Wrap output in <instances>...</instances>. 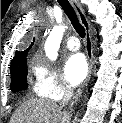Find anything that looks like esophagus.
I'll return each mask as SVG.
<instances>
[{
  "label": "esophagus",
  "instance_id": "obj_1",
  "mask_svg": "<svg viewBox=\"0 0 122 123\" xmlns=\"http://www.w3.org/2000/svg\"><path fill=\"white\" fill-rule=\"evenodd\" d=\"M70 3L72 7L74 8V10L76 11L79 17L80 23L82 24V26L84 27L86 31L85 46H86V55H87V60L89 65L88 75L85 81L80 86V88L77 90L75 96L73 97V100L71 101V104H70V108H71L73 104L76 103L77 100L80 98L84 88L87 86L91 78L92 69H93V40H92V32H91L90 24L87 17L85 16V13L81 4L78 2V0H70Z\"/></svg>",
  "mask_w": 122,
  "mask_h": 123
}]
</instances>
